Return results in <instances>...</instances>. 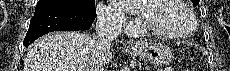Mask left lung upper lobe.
I'll use <instances>...</instances> for the list:
<instances>
[{
	"label": "left lung upper lobe",
	"mask_w": 230,
	"mask_h": 71,
	"mask_svg": "<svg viewBox=\"0 0 230 71\" xmlns=\"http://www.w3.org/2000/svg\"><path fill=\"white\" fill-rule=\"evenodd\" d=\"M193 2V5L196 6L199 3V0H191Z\"/></svg>",
	"instance_id": "5c2ea615"
}]
</instances>
